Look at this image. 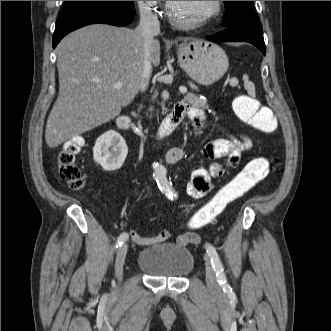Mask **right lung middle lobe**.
<instances>
[{
  "label": "right lung middle lobe",
  "mask_w": 331,
  "mask_h": 331,
  "mask_svg": "<svg viewBox=\"0 0 331 331\" xmlns=\"http://www.w3.org/2000/svg\"><path fill=\"white\" fill-rule=\"evenodd\" d=\"M123 2L126 1H65L63 10L59 18L69 16L71 14H74L76 12L82 11L87 8L106 5V4L123 3Z\"/></svg>",
  "instance_id": "1"
}]
</instances>
